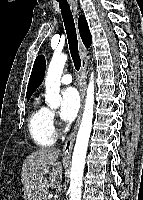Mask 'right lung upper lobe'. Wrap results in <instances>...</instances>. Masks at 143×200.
<instances>
[{
	"label": "right lung upper lobe",
	"instance_id": "1",
	"mask_svg": "<svg viewBox=\"0 0 143 200\" xmlns=\"http://www.w3.org/2000/svg\"><path fill=\"white\" fill-rule=\"evenodd\" d=\"M78 27L82 41L86 48H88L91 45L92 37L89 31L87 21L83 15H81L78 19ZM45 68L46 62L44 56H38L34 62L32 73L29 79V84L26 93L27 99H30L33 92L42 83L44 79Z\"/></svg>",
	"mask_w": 143,
	"mask_h": 200
}]
</instances>
